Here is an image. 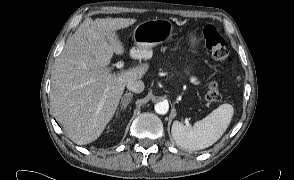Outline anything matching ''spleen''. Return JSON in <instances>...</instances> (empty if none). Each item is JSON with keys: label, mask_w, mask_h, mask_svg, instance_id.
Instances as JSON below:
<instances>
[{"label": "spleen", "mask_w": 294, "mask_h": 180, "mask_svg": "<svg viewBox=\"0 0 294 180\" xmlns=\"http://www.w3.org/2000/svg\"><path fill=\"white\" fill-rule=\"evenodd\" d=\"M233 107L230 104H222L209 115L193 126L174 121L172 125V136L176 144L186 150L205 149L224 134L228 128L232 116Z\"/></svg>", "instance_id": "1"}]
</instances>
